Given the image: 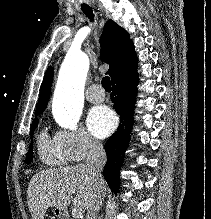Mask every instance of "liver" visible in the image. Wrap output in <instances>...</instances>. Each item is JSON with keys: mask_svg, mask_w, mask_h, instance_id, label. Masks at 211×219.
<instances>
[{"mask_svg": "<svg viewBox=\"0 0 211 219\" xmlns=\"http://www.w3.org/2000/svg\"><path fill=\"white\" fill-rule=\"evenodd\" d=\"M103 194H105V185ZM95 195L94 182L86 165L78 164L43 170L34 175L28 186L27 203L32 219H44L48 208L64 210L71 201L75 208L88 210Z\"/></svg>", "mask_w": 211, "mask_h": 219, "instance_id": "liver-1", "label": "liver"}]
</instances>
